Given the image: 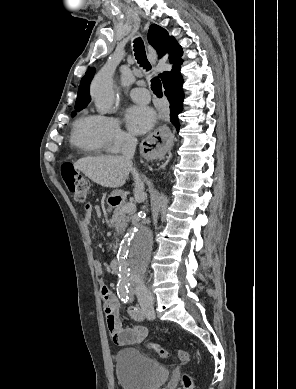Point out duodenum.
Masks as SVG:
<instances>
[{"label": "duodenum", "instance_id": "410a0bca", "mask_svg": "<svg viewBox=\"0 0 296 389\" xmlns=\"http://www.w3.org/2000/svg\"><path fill=\"white\" fill-rule=\"evenodd\" d=\"M113 205L118 204L117 202H113ZM110 269L113 274H118L119 273V264L117 260H112L110 262Z\"/></svg>", "mask_w": 296, "mask_h": 389}]
</instances>
